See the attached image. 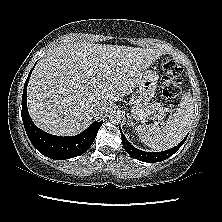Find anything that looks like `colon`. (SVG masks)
<instances>
[{"label":"colon","instance_id":"obj_1","mask_svg":"<svg viewBox=\"0 0 222 222\" xmlns=\"http://www.w3.org/2000/svg\"><path fill=\"white\" fill-rule=\"evenodd\" d=\"M182 68L171 59L162 62L163 87L162 95L167 100L178 97L182 88Z\"/></svg>","mask_w":222,"mask_h":222}]
</instances>
